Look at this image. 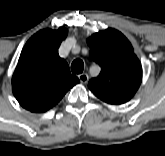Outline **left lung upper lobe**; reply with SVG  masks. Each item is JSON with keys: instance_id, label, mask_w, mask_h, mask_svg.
<instances>
[{"instance_id": "1", "label": "left lung upper lobe", "mask_w": 165, "mask_h": 156, "mask_svg": "<svg viewBox=\"0 0 165 156\" xmlns=\"http://www.w3.org/2000/svg\"><path fill=\"white\" fill-rule=\"evenodd\" d=\"M90 56L101 67L89 89L102 101L119 105L129 101L142 80L141 64L127 38L115 29L93 34L87 39Z\"/></svg>"}]
</instances>
